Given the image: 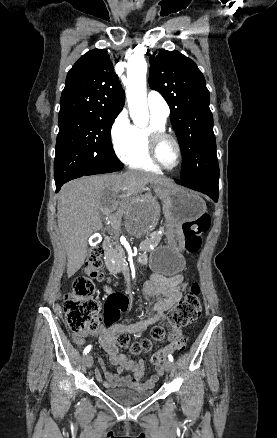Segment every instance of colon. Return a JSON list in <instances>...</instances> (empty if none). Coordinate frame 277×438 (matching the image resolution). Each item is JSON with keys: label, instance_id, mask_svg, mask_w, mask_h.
Returning a JSON list of instances; mask_svg holds the SVG:
<instances>
[{"label": "colon", "instance_id": "5ec220e1", "mask_svg": "<svg viewBox=\"0 0 277 438\" xmlns=\"http://www.w3.org/2000/svg\"><path fill=\"white\" fill-rule=\"evenodd\" d=\"M210 227V217L202 214L194 222H185L182 225V233L185 238V248L189 252H197L203 241L204 235ZM104 252L101 246H94L86 260V271L83 276L75 279L72 289L65 296L63 307L64 316L73 330L100 334L102 331L101 312L99 304L93 298L95 292L94 282L104 281V272L101 269ZM110 281L111 279H107ZM202 311V305L198 297V290L186 295L168 312L167 321L156 326L151 331V337L143 341L130 343L127 333H119L116 341L123 349L129 348L133 353L148 350L153 343L160 342L171 329H180L192 323ZM187 338L184 334H176L173 345L184 348ZM165 354L155 353L151 361L155 364L163 362Z\"/></svg>", "mask_w": 277, "mask_h": 438}]
</instances>
